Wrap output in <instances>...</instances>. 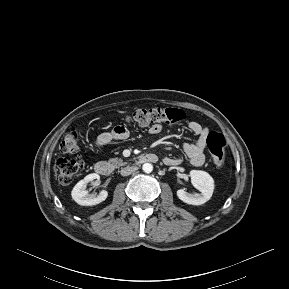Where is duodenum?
Instances as JSON below:
<instances>
[{
  "mask_svg": "<svg viewBox=\"0 0 289 289\" xmlns=\"http://www.w3.org/2000/svg\"><path fill=\"white\" fill-rule=\"evenodd\" d=\"M158 158L155 154H145L140 156L136 164H143V163H155L157 162ZM94 170L96 173L104 176H108L113 172V166L108 161H98L94 165Z\"/></svg>",
  "mask_w": 289,
  "mask_h": 289,
  "instance_id": "obj_1",
  "label": "duodenum"
}]
</instances>
